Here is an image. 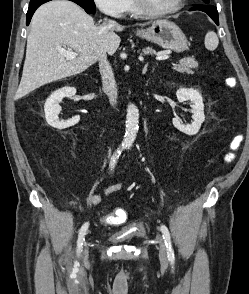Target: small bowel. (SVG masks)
<instances>
[{"mask_svg":"<svg viewBox=\"0 0 249 294\" xmlns=\"http://www.w3.org/2000/svg\"><path fill=\"white\" fill-rule=\"evenodd\" d=\"M124 188L122 183H113L107 187H105L100 193L92 194L89 197V204L91 206L100 205L104 199L115 192H118ZM76 204V202H72ZM126 220V216L123 211L117 210L108 216L104 217L103 221L112 225H119Z\"/></svg>","mask_w":249,"mask_h":294,"instance_id":"1","label":"small bowel"}]
</instances>
